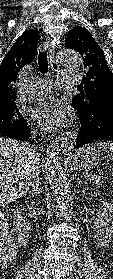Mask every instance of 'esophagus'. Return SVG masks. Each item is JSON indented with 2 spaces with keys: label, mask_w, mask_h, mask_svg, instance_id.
Masks as SVG:
<instances>
[{
  "label": "esophagus",
  "mask_w": 113,
  "mask_h": 279,
  "mask_svg": "<svg viewBox=\"0 0 113 279\" xmlns=\"http://www.w3.org/2000/svg\"><path fill=\"white\" fill-rule=\"evenodd\" d=\"M43 46L48 50L49 58H50V66L53 71H59L61 69V65L55 61V48L50 45V37H47L44 41ZM76 138V134L74 133H67V135L63 138L61 147L63 151L67 152L71 150L72 142Z\"/></svg>",
  "instance_id": "34e87169"
}]
</instances>
